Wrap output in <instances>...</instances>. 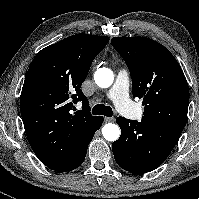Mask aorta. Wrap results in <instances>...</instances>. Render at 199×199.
I'll list each match as a JSON object with an SVG mask.
<instances>
[{
  "instance_id": "obj_1",
  "label": "aorta",
  "mask_w": 199,
  "mask_h": 199,
  "mask_svg": "<svg viewBox=\"0 0 199 199\" xmlns=\"http://www.w3.org/2000/svg\"><path fill=\"white\" fill-rule=\"evenodd\" d=\"M95 83L101 88L109 87L114 80L113 72L109 68H100L94 75ZM103 137L108 141H116L120 136V128L116 124L108 123L102 128Z\"/></svg>"
}]
</instances>
